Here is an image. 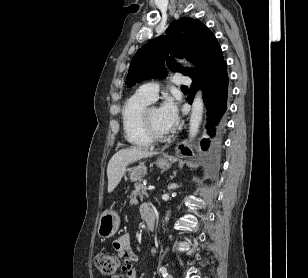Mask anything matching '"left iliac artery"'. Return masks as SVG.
Returning a JSON list of instances; mask_svg holds the SVG:
<instances>
[{
	"instance_id": "1",
	"label": "left iliac artery",
	"mask_w": 308,
	"mask_h": 278,
	"mask_svg": "<svg viewBox=\"0 0 308 278\" xmlns=\"http://www.w3.org/2000/svg\"><path fill=\"white\" fill-rule=\"evenodd\" d=\"M160 273L162 274V276L165 278L167 276V268L166 267H161L159 269Z\"/></svg>"
}]
</instances>
